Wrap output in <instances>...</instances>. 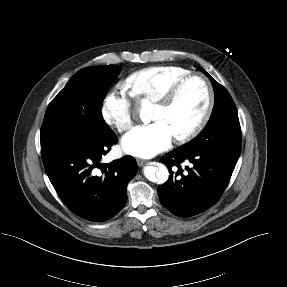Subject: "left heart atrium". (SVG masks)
Masks as SVG:
<instances>
[{
	"mask_svg": "<svg viewBox=\"0 0 287 287\" xmlns=\"http://www.w3.org/2000/svg\"><path fill=\"white\" fill-rule=\"evenodd\" d=\"M172 139L173 135L166 124L154 121L129 131L122 139V148L131 155L150 158L166 150Z\"/></svg>",
	"mask_w": 287,
	"mask_h": 287,
	"instance_id": "1",
	"label": "left heart atrium"
}]
</instances>
